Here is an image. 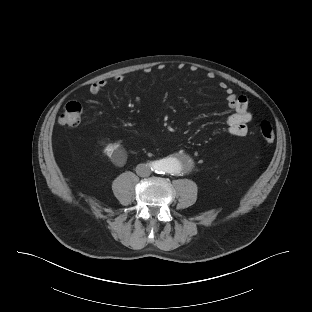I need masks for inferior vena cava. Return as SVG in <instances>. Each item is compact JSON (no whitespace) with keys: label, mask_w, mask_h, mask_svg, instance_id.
Returning <instances> with one entry per match:
<instances>
[{"label":"inferior vena cava","mask_w":312,"mask_h":312,"mask_svg":"<svg viewBox=\"0 0 312 312\" xmlns=\"http://www.w3.org/2000/svg\"><path fill=\"white\" fill-rule=\"evenodd\" d=\"M136 173H137L139 176H141V177H147V176L150 175L151 170H150V168H149L147 165H145V164H140V165H138L137 168H136Z\"/></svg>","instance_id":"inferior-vena-cava-1"}]
</instances>
